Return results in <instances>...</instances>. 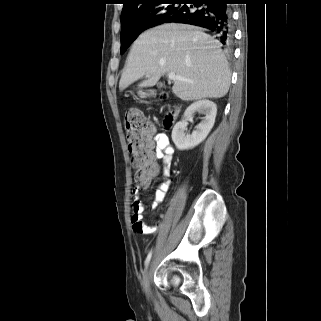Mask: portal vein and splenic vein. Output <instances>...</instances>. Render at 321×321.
Returning <instances> with one entry per match:
<instances>
[{
	"instance_id": "18ae733b",
	"label": "portal vein and splenic vein",
	"mask_w": 321,
	"mask_h": 321,
	"mask_svg": "<svg viewBox=\"0 0 321 321\" xmlns=\"http://www.w3.org/2000/svg\"><path fill=\"white\" fill-rule=\"evenodd\" d=\"M168 78L172 81H175V80L187 81V79L177 76L175 73H168Z\"/></svg>"
}]
</instances>
